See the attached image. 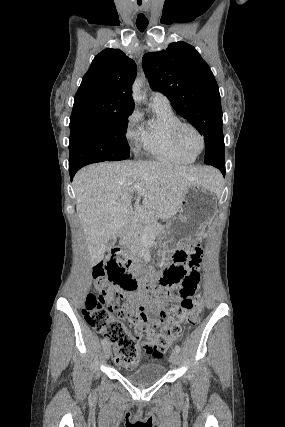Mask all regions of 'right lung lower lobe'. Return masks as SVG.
Here are the masks:
<instances>
[{"label":"right lung lower lobe","instance_id":"right-lung-lower-lobe-1","mask_svg":"<svg viewBox=\"0 0 285 427\" xmlns=\"http://www.w3.org/2000/svg\"><path fill=\"white\" fill-rule=\"evenodd\" d=\"M69 173H70V177H71V180H72L74 174L76 173V170H69Z\"/></svg>","mask_w":285,"mask_h":427}]
</instances>
